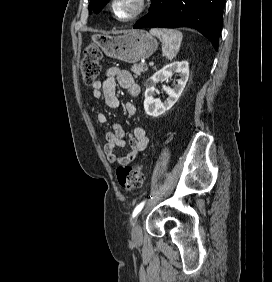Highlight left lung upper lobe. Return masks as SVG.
<instances>
[{
    "instance_id": "left-lung-upper-lobe-1",
    "label": "left lung upper lobe",
    "mask_w": 272,
    "mask_h": 282,
    "mask_svg": "<svg viewBox=\"0 0 272 282\" xmlns=\"http://www.w3.org/2000/svg\"><path fill=\"white\" fill-rule=\"evenodd\" d=\"M109 0H91L89 5V12L93 10L95 13H98L108 2Z\"/></svg>"
}]
</instances>
